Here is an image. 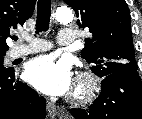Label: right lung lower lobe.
<instances>
[{
	"instance_id": "1",
	"label": "right lung lower lobe",
	"mask_w": 142,
	"mask_h": 119,
	"mask_svg": "<svg viewBox=\"0 0 142 119\" xmlns=\"http://www.w3.org/2000/svg\"><path fill=\"white\" fill-rule=\"evenodd\" d=\"M46 100L20 82L13 69L0 73V119H45Z\"/></svg>"
}]
</instances>
